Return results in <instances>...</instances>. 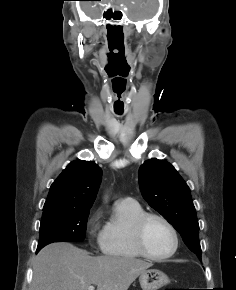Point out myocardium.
<instances>
[{
	"label": "myocardium",
	"mask_w": 236,
	"mask_h": 290,
	"mask_svg": "<svg viewBox=\"0 0 236 290\" xmlns=\"http://www.w3.org/2000/svg\"><path fill=\"white\" fill-rule=\"evenodd\" d=\"M151 219H157L161 221L162 223H164L172 234L173 248L169 253L165 255H154L150 253L146 247L145 227H146L147 222ZM132 236H133L134 244L138 252L141 254V256L150 260H154V261H164L171 258L172 256L175 255L179 247V236L174 225L165 216L155 213V212H144L133 222Z\"/></svg>",
	"instance_id": "f54148a6"
}]
</instances>
